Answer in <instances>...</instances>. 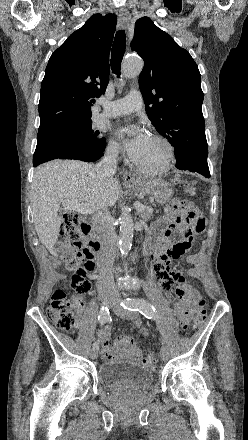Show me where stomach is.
I'll use <instances>...</instances> for the list:
<instances>
[{"label": "stomach", "instance_id": "stomach-1", "mask_svg": "<svg viewBox=\"0 0 248 440\" xmlns=\"http://www.w3.org/2000/svg\"><path fill=\"white\" fill-rule=\"evenodd\" d=\"M128 185L137 191L141 197L147 196L155 199L160 204L167 203L173 195L171 185L161 179L136 177Z\"/></svg>", "mask_w": 248, "mask_h": 440}]
</instances>
